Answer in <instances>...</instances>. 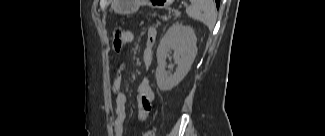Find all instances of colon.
Here are the masks:
<instances>
[{"label":"colon","instance_id":"5ec220e1","mask_svg":"<svg viewBox=\"0 0 325 136\" xmlns=\"http://www.w3.org/2000/svg\"><path fill=\"white\" fill-rule=\"evenodd\" d=\"M125 29L117 28L113 34V46L116 51H121L125 46ZM143 136H155V130L151 129L147 131Z\"/></svg>","mask_w":325,"mask_h":136}]
</instances>
